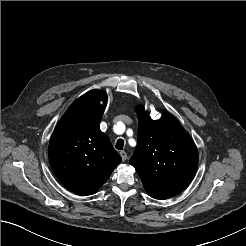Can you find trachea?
Here are the masks:
<instances>
[{
	"instance_id": "1",
	"label": "trachea",
	"mask_w": 246,
	"mask_h": 246,
	"mask_svg": "<svg viewBox=\"0 0 246 246\" xmlns=\"http://www.w3.org/2000/svg\"><path fill=\"white\" fill-rule=\"evenodd\" d=\"M124 146V140L123 139H118L115 148L118 150H122Z\"/></svg>"
}]
</instances>
